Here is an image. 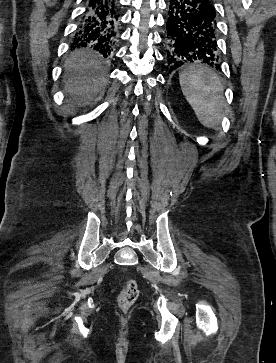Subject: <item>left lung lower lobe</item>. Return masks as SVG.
<instances>
[{"instance_id": "left-lung-lower-lobe-1", "label": "left lung lower lobe", "mask_w": 276, "mask_h": 363, "mask_svg": "<svg viewBox=\"0 0 276 363\" xmlns=\"http://www.w3.org/2000/svg\"><path fill=\"white\" fill-rule=\"evenodd\" d=\"M165 37L169 73L189 63L220 69L215 9L209 0H169Z\"/></svg>"}]
</instances>
